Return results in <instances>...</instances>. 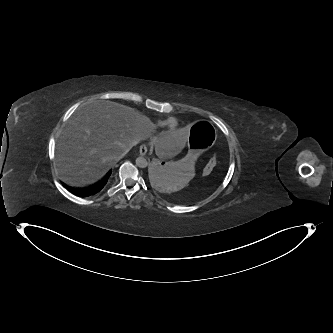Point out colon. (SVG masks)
Returning <instances> with one entry per match:
<instances>
[{
  "label": "colon",
  "mask_w": 333,
  "mask_h": 333,
  "mask_svg": "<svg viewBox=\"0 0 333 333\" xmlns=\"http://www.w3.org/2000/svg\"><path fill=\"white\" fill-rule=\"evenodd\" d=\"M217 163V159L215 156H213L207 163V165L204 168V174H208L212 171V169L215 167Z\"/></svg>",
  "instance_id": "obj_1"
}]
</instances>
